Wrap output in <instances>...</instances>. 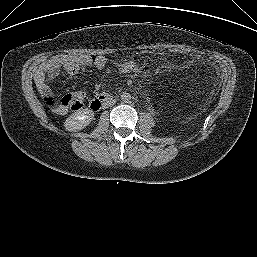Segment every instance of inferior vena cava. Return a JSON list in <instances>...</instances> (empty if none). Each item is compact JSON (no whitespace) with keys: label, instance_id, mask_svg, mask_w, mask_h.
<instances>
[{"label":"inferior vena cava","instance_id":"1","mask_svg":"<svg viewBox=\"0 0 257 257\" xmlns=\"http://www.w3.org/2000/svg\"><path fill=\"white\" fill-rule=\"evenodd\" d=\"M115 103V100H111L108 105H113Z\"/></svg>","mask_w":257,"mask_h":257}]
</instances>
